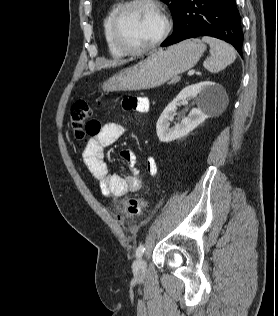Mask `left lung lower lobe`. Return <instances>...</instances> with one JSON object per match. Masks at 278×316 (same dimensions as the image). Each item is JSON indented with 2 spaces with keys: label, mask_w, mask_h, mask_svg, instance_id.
I'll list each match as a JSON object with an SVG mask.
<instances>
[{
  "label": "left lung lower lobe",
  "mask_w": 278,
  "mask_h": 316,
  "mask_svg": "<svg viewBox=\"0 0 278 316\" xmlns=\"http://www.w3.org/2000/svg\"><path fill=\"white\" fill-rule=\"evenodd\" d=\"M198 36L224 40L242 56L243 33L235 0H184L172 35L161 46Z\"/></svg>",
  "instance_id": "0a47b994"
}]
</instances>
